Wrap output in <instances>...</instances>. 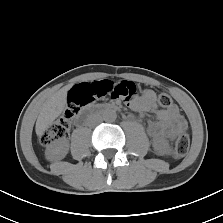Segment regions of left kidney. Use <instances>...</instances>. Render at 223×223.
Here are the masks:
<instances>
[{
  "label": "left kidney",
  "instance_id": "left-kidney-1",
  "mask_svg": "<svg viewBox=\"0 0 223 223\" xmlns=\"http://www.w3.org/2000/svg\"><path fill=\"white\" fill-rule=\"evenodd\" d=\"M164 148V151L166 152V153H169L170 152V148H169V146L168 145H164L163 146Z\"/></svg>",
  "mask_w": 223,
  "mask_h": 223
}]
</instances>
